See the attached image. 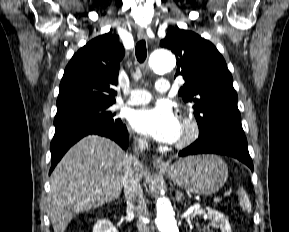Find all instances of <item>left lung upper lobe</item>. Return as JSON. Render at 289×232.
<instances>
[{"label": "left lung upper lobe", "instance_id": "5c2ea615", "mask_svg": "<svg viewBox=\"0 0 289 232\" xmlns=\"http://www.w3.org/2000/svg\"><path fill=\"white\" fill-rule=\"evenodd\" d=\"M160 46L177 58L175 77L185 80L179 95L193 105L199 137L222 129H242L232 75L216 47L179 28L169 31Z\"/></svg>", "mask_w": 289, "mask_h": 232}]
</instances>
